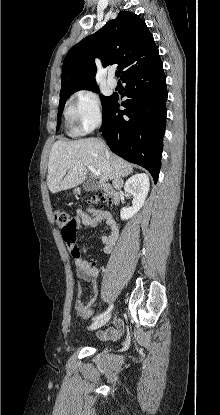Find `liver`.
I'll list each match as a JSON object with an SVG mask.
<instances>
[{
	"label": "liver",
	"mask_w": 220,
	"mask_h": 415,
	"mask_svg": "<svg viewBox=\"0 0 220 415\" xmlns=\"http://www.w3.org/2000/svg\"><path fill=\"white\" fill-rule=\"evenodd\" d=\"M89 165L101 172V184L133 172L130 163L109 153L99 139L85 138L69 142L59 140L54 143L49 155L47 185L51 193L68 190L83 183Z\"/></svg>",
	"instance_id": "obj_1"
}]
</instances>
